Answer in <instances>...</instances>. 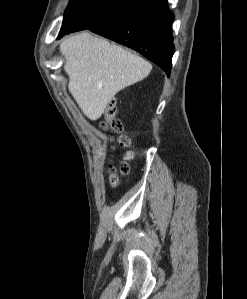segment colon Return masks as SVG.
<instances>
[{
	"mask_svg": "<svg viewBox=\"0 0 247 299\" xmlns=\"http://www.w3.org/2000/svg\"><path fill=\"white\" fill-rule=\"evenodd\" d=\"M116 103L114 100L110 101L104 111V121L100 123V128L111 134L117 135L116 141L121 147H129L130 139L122 133V124L119 119L116 118ZM133 158V153L127 151L125 154V160H130ZM129 171L128 164L122 163L118 170L112 169L111 182L113 185L118 183V173L127 174Z\"/></svg>",
	"mask_w": 247,
	"mask_h": 299,
	"instance_id": "5ec220e1",
	"label": "colon"
}]
</instances>
